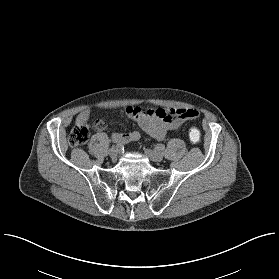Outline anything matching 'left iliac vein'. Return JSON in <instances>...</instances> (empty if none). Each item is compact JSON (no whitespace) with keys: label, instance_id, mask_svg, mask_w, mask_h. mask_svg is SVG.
<instances>
[{"label":"left iliac vein","instance_id":"4c4485c4","mask_svg":"<svg viewBox=\"0 0 279 279\" xmlns=\"http://www.w3.org/2000/svg\"><path fill=\"white\" fill-rule=\"evenodd\" d=\"M145 154L153 161L160 162L163 160V154L160 152L153 151L151 149H146Z\"/></svg>","mask_w":279,"mask_h":279}]
</instances>
